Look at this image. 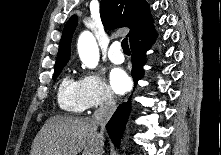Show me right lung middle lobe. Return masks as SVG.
Wrapping results in <instances>:
<instances>
[{
  "label": "right lung middle lobe",
  "instance_id": "1",
  "mask_svg": "<svg viewBox=\"0 0 221 155\" xmlns=\"http://www.w3.org/2000/svg\"><path fill=\"white\" fill-rule=\"evenodd\" d=\"M64 66H65V65H62V66H59V67H56V68H55L54 76H53L54 79L57 78V76L59 75V73L61 72V70L63 69Z\"/></svg>",
  "mask_w": 221,
  "mask_h": 155
}]
</instances>
